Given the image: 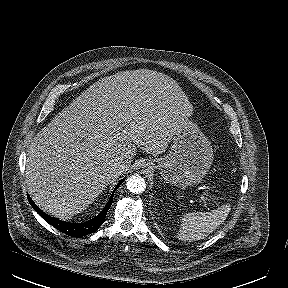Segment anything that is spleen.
Segmentation results:
<instances>
[{
    "label": "spleen",
    "mask_w": 288,
    "mask_h": 288,
    "mask_svg": "<svg viewBox=\"0 0 288 288\" xmlns=\"http://www.w3.org/2000/svg\"><path fill=\"white\" fill-rule=\"evenodd\" d=\"M230 206L223 205L210 212L187 213L182 218L177 238L184 242L204 239L227 218Z\"/></svg>",
    "instance_id": "3e777b00"
}]
</instances>
